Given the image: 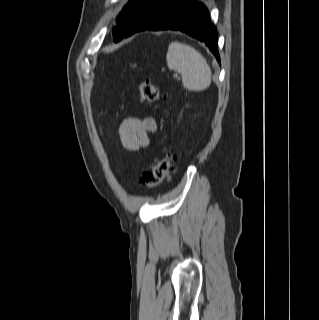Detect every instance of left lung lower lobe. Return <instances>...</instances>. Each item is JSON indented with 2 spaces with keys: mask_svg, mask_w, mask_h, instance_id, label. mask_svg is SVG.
<instances>
[{
  "mask_svg": "<svg viewBox=\"0 0 319 320\" xmlns=\"http://www.w3.org/2000/svg\"><path fill=\"white\" fill-rule=\"evenodd\" d=\"M176 30L203 42L220 63L216 28L208 10L195 0H158L132 25L125 37L144 30Z\"/></svg>",
  "mask_w": 319,
  "mask_h": 320,
  "instance_id": "left-lung-lower-lobe-1",
  "label": "left lung lower lobe"
}]
</instances>
